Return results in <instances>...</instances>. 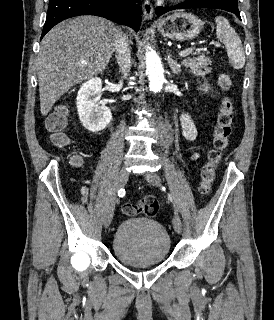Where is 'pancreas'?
Instances as JSON below:
<instances>
[{"mask_svg":"<svg viewBox=\"0 0 274 320\" xmlns=\"http://www.w3.org/2000/svg\"><path fill=\"white\" fill-rule=\"evenodd\" d=\"M206 54H209V52H206ZM183 66L185 68H189L190 72L192 74H195V76H206V74H210L212 60L210 58H207L205 54H197V56H193V58H185L182 62Z\"/></svg>","mask_w":274,"mask_h":320,"instance_id":"cf45deb5","label":"pancreas"}]
</instances>
